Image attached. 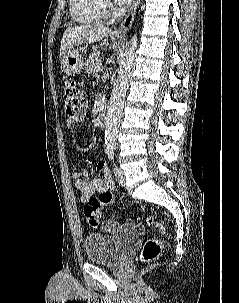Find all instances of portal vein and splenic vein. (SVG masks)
<instances>
[{
  "mask_svg": "<svg viewBox=\"0 0 239 303\" xmlns=\"http://www.w3.org/2000/svg\"><path fill=\"white\" fill-rule=\"evenodd\" d=\"M97 69H98V71H101V70L103 69L102 63H100V64L97 66Z\"/></svg>",
  "mask_w": 239,
  "mask_h": 303,
  "instance_id": "portal-vein-and-splenic-vein-1",
  "label": "portal vein and splenic vein"
}]
</instances>
